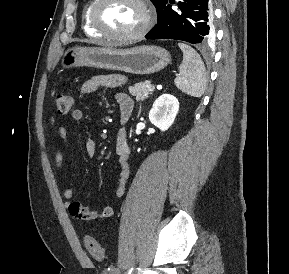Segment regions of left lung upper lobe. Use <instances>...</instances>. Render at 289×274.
<instances>
[{"mask_svg":"<svg viewBox=\"0 0 289 274\" xmlns=\"http://www.w3.org/2000/svg\"><path fill=\"white\" fill-rule=\"evenodd\" d=\"M168 0H151V2L154 4L157 10V14L160 12V10L163 8V6L167 3Z\"/></svg>","mask_w":289,"mask_h":274,"instance_id":"1","label":"left lung upper lobe"}]
</instances>
